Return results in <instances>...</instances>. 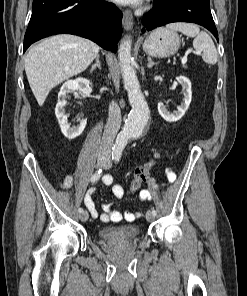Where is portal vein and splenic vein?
Here are the masks:
<instances>
[{
	"label": "portal vein and splenic vein",
	"mask_w": 247,
	"mask_h": 296,
	"mask_svg": "<svg viewBox=\"0 0 247 296\" xmlns=\"http://www.w3.org/2000/svg\"><path fill=\"white\" fill-rule=\"evenodd\" d=\"M194 53H195V54H200V52H194ZM186 62H187V56L182 57V59H181V63H182V65H185Z\"/></svg>",
	"instance_id": "18ae733b"
}]
</instances>
